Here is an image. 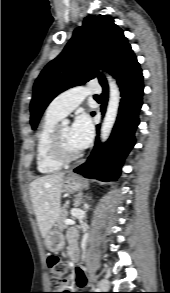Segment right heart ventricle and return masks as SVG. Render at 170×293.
I'll return each mask as SVG.
<instances>
[{"label":"right heart ventricle","mask_w":170,"mask_h":293,"mask_svg":"<svg viewBox=\"0 0 170 293\" xmlns=\"http://www.w3.org/2000/svg\"><path fill=\"white\" fill-rule=\"evenodd\" d=\"M61 118L45 113L36 140V166L39 172L48 174L61 169L63 163L53 159L49 151L50 135Z\"/></svg>","instance_id":"obj_1"}]
</instances>
